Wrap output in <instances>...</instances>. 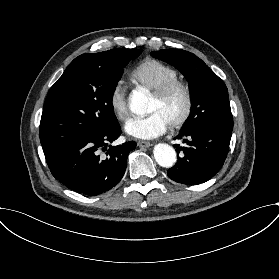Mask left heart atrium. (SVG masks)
Segmentation results:
<instances>
[{
  "label": "left heart atrium",
  "mask_w": 279,
  "mask_h": 279,
  "mask_svg": "<svg viewBox=\"0 0 279 279\" xmlns=\"http://www.w3.org/2000/svg\"><path fill=\"white\" fill-rule=\"evenodd\" d=\"M170 126L164 115L156 110L145 117H135L125 124V132L136 139L153 140L162 136Z\"/></svg>",
  "instance_id": "left-heart-atrium-1"
}]
</instances>
